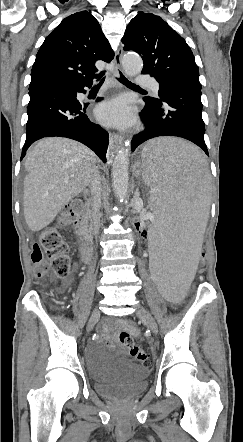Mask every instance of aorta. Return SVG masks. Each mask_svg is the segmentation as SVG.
Here are the masks:
<instances>
[{
	"instance_id": "obj_1",
	"label": "aorta",
	"mask_w": 243,
	"mask_h": 442,
	"mask_svg": "<svg viewBox=\"0 0 243 442\" xmlns=\"http://www.w3.org/2000/svg\"><path fill=\"white\" fill-rule=\"evenodd\" d=\"M123 69L126 74L134 76L143 68L142 59L135 54H126L122 59ZM130 157V142L127 140L117 152L112 166V182L115 197L122 203L127 198L129 177L128 165Z\"/></svg>"
}]
</instances>
